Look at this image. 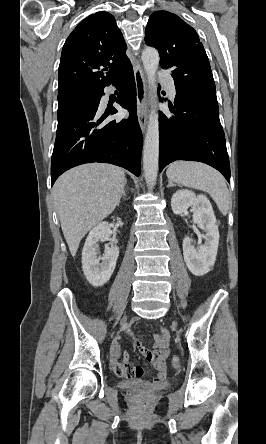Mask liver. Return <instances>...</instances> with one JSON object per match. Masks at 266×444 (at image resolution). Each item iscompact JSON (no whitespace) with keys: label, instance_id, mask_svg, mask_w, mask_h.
<instances>
[{"label":"liver","instance_id":"1","mask_svg":"<svg viewBox=\"0 0 266 444\" xmlns=\"http://www.w3.org/2000/svg\"><path fill=\"white\" fill-rule=\"evenodd\" d=\"M125 183L121 168L104 163L75 167L57 179L53 197L73 257L85 234L113 212Z\"/></svg>","mask_w":266,"mask_h":444}]
</instances>
